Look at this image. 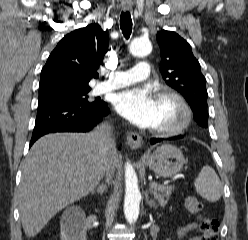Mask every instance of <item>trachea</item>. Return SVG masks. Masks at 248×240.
I'll use <instances>...</instances> for the list:
<instances>
[{
	"label": "trachea",
	"instance_id": "3493384b",
	"mask_svg": "<svg viewBox=\"0 0 248 240\" xmlns=\"http://www.w3.org/2000/svg\"><path fill=\"white\" fill-rule=\"evenodd\" d=\"M120 27H121L124 37L128 39L132 31V19H131V15L129 11L121 13Z\"/></svg>",
	"mask_w": 248,
	"mask_h": 240
}]
</instances>
